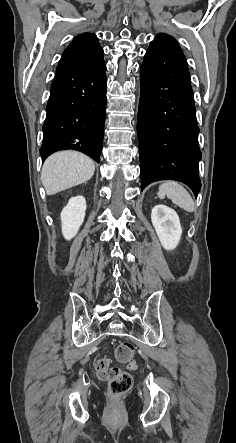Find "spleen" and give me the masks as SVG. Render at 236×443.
<instances>
[{
	"label": "spleen",
	"mask_w": 236,
	"mask_h": 443,
	"mask_svg": "<svg viewBox=\"0 0 236 443\" xmlns=\"http://www.w3.org/2000/svg\"><path fill=\"white\" fill-rule=\"evenodd\" d=\"M167 196L172 202L187 212H194L195 204L189 192L175 181H167L159 186L158 197Z\"/></svg>",
	"instance_id": "spleen-1"
}]
</instances>
